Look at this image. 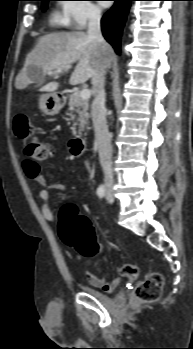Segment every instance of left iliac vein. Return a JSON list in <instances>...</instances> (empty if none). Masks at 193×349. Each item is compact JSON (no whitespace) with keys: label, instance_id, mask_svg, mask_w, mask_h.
<instances>
[{"label":"left iliac vein","instance_id":"1","mask_svg":"<svg viewBox=\"0 0 193 349\" xmlns=\"http://www.w3.org/2000/svg\"><path fill=\"white\" fill-rule=\"evenodd\" d=\"M106 199H107L108 202H113L114 201V195H113V191L111 189H109L107 191Z\"/></svg>","mask_w":193,"mask_h":349}]
</instances>
